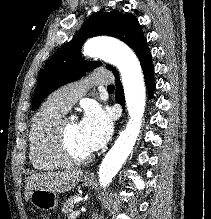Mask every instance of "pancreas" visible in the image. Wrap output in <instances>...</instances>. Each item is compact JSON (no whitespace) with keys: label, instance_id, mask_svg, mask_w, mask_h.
<instances>
[{"label":"pancreas","instance_id":"pancreas-1","mask_svg":"<svg viewBox=\"0 0 211 219\" xmlns=\"http://www.w3.org/2000/svg\"><path fill=\"white\" fill-rule=\"evenodd\" d=\"M78 196H73V197H70L69 199H67L64 203H63V206L61 208V211L64 213V214H68L70 212L73 211V202L74 200L77 198Z\"/></svg>","mask_w":211,"mask_h":219}]
</instances>
